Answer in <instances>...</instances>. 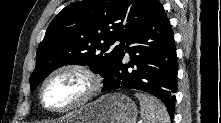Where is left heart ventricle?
<instances>
[{
    "mask_svg": "<svg viewBox=\"0 0 221 123\" xmlns=\"http://www.w3.org/2000/svg\"><path fill=\"white\" fill-rule=\"evenodd\" d=\"M88 89V81L76 72H63L53 77L44 90V100L50 107L61 108L80 99Z\"/></svg>",
    "mask_w": 221,
    "mask_h": 123,
    "instance_id": "1",
    "label": "left heart ventricle"
}]
</instances>
